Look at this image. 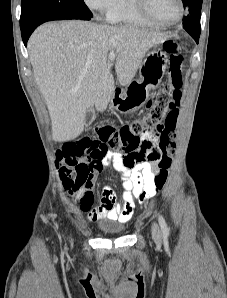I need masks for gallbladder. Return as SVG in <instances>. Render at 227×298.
Listing matches in <instances>:
<instances>
[{
  "label": "gallbladder",
  "mask_w": 227,
  "mask_h": 298,
  "mask_svg": "<svg viewBox=\"0 0 227 298\" xmlns=\"http://www.w3.org/2000/svg\"><path fill=\"white\" fill-rule=\"evenodd\" d=\"M94 119H95V110L94 108H90L87 110L85 115V122H84L85 126L91 125Z\"/></svg>",
  "instance_id": "1"
}]
</instances>
